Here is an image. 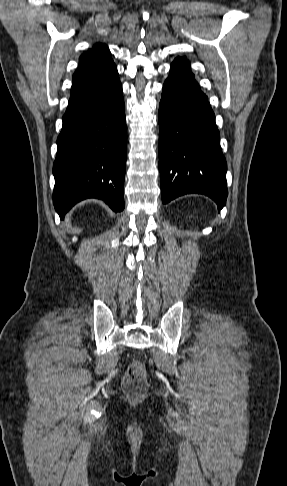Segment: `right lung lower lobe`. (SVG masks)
<instances>
[{"instance_id": "right-lung-lower-lobe-1", "label": "right lung lower lobe", "mask_w": 287, "mask_h": 486, "mask_svg": "<svg viewBox=\"0 0 287 486\" xmlns=\"http://www.w3.org/2000/svg\"><path fill=\"white\" fill-rule=\"evenodd\" d=\"M124 99L119 77L70 96L57 139L53 203L63 219L86 198L124 209L126 139Z\"/></svg>"}]
</instances>
